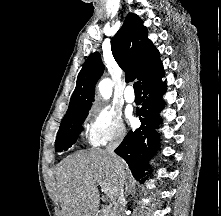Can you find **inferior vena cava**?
Segmentation results:
<instances>
[{"label": "inferior vena cava", "mask_w": 221, "mask_h": 216, "mask_svg": "<svg viewBox=\"0 0 221 216\" xmlns=\"http://www.w3.org/2000/svg\"><path fill=\"white\" fill-rule=\"evenodd\" d=\"M124 137V134L119 135L115 141L110 143L106 147L107 153L114 159L115 168L119 176V185H118V200L114 206L113 216H124V205H125V197H124V189L123 186L126 181V174L124 171V166L122 161L115 155L114 150L120 144Z\"/></svg>", "instance_id": "obj_1"}]
</instances>
